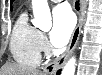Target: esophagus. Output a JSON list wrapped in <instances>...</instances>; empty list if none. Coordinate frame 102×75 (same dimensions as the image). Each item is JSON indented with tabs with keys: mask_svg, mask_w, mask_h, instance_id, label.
<instances>
[{
	"mask_svg": "<svg viewBox=\"0 0 102 75\" xmlns=\"http://www.w3.org/2000/svg\"><path fill=\"white\" fill-rule=\"evenodd\" d=\"M73 9L76 12L78 17L77 26L73 31L70 43L66 51L60 57L56 58L54 61H52L51 63L45 66L44 72L47 74H55L57 70L61 68L64 65V63L67 61V59L72 54V52L74 51L78 43L82 24H83L84 0H74Z\"/></svg>",
	"mask_w": 102,
	"mask_h": 75,
	"instance_id": "1",
	"label": "esophagus"
}]
</instances>
